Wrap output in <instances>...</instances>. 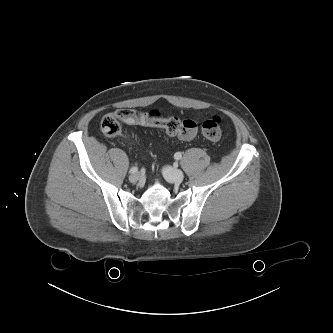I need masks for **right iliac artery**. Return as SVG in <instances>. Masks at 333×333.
Wrapping results in <instances>:
<instances>
[{
	"instance_id": "right-iliac-artery-1",
	"label": "right iliac artery",
	"mask_w": 333,
	"mask_h": 333,
	"mask_svg": "<svg viewBox=\"0 0 333 333\" xmlns=\"http://www.w3.org/2000/svg\"><path fill=\"white\" fill-rule=\"evenodd\" d=\"M138 171V167H136V166H134V167H132L131 169H130V173H132V174H134V173H136Z\"/></svg>"
}]
</instances>
